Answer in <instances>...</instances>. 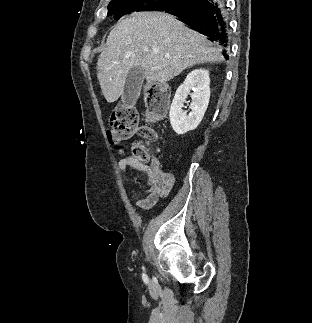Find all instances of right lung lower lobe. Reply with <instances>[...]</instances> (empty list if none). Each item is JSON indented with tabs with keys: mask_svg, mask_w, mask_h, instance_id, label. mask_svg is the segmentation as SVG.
<instances>
[{
	"mask_svg": "<svg viewBox=\"0 0 312 323\" xmlns=\"http://www.w3.org/2000/svg\"><path fill=\"white\" fill-rule=\"evenodd\" d=\"M223 0H188L181 6L166 10L175 15L180 21L208 36V39L217 43L226 54L229 48V23L226 6Z\"/></svg>",
	"mask_w": 312,
	"mask_h": 323,
	"instance_id": "right-lung-lower-lobe-1",
	"label": "right lung lower lobe"
}]
</instances>
